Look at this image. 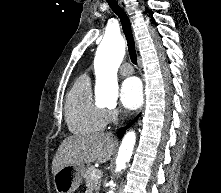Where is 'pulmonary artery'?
<instances>
[{"label":"pulmonary artery","instance_id":"e3ab8cb5","mask_svg":"<svg viewBox=\"0 0 221 193\" xmlns=\"http://www.w3.org/2000/svg\"><path fill=\"white\" fill-rule=\"evenodd\" d=\"M120 73L121 75L123 76H129L133 73V69H132V66L128 63H125L123 64L121 67H120Z\"/></svg>","mask_w":221,"mask_h":193}]
</instances>
